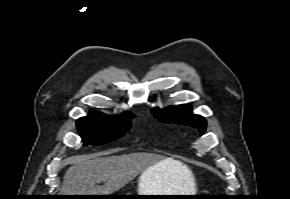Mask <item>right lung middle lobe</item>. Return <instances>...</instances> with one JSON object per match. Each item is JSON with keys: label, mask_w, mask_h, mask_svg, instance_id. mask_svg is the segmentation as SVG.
<instances>
[{"label": "right lung middle lobe", "mask_w": 290, "mask_h": 199, "mask_svg": "<svg viewBox=\"0 0 290 199\" xmlns=\"http://www.w3.org/2000/svg\"><path fill=\"white\" fill-rule=\"evenodd\" d=\"M135 116H88L77 120L78 132L85 144L101 145L125 135Z\"/></svg>", "instance_id": "1"}]
</instances>
